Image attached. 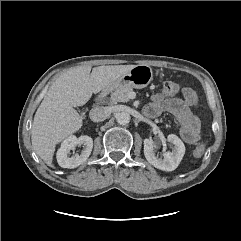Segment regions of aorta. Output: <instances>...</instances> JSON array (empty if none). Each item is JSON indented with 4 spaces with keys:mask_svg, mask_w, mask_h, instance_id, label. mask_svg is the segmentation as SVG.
I'll list each match as a JSON object with an SVG mask.
<instances>
[{
    "mask_svg": "<svg viewBox=\"0 0 241 241\" xmlns=\"http://www.w3.org/2000/svg\"><path fill=\"white\" fill-rule=\"evenodd\" d=\"M130 115L127 112H120L116 116V121L120 125H127L130 122Z\"/></svg>",
    "mask_w": 241,
    "mask_h": 241,
    "instance_id": "aorta-1",
    "label": "aorta"
}]
</instances>
